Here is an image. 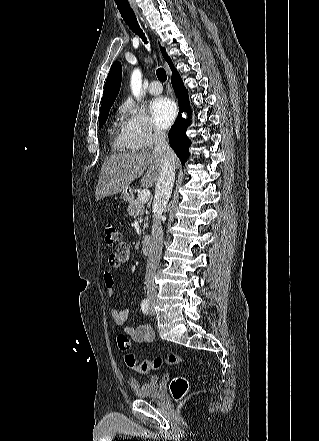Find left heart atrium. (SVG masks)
Instances as JSON below:
<instances>
[{
	"label": "left heart atrium",
	"mask_w": 319,
	"mask_h": 441,
	"mask_svg": "<svg viewBox=\"0 0 319 441\" xmlns=\"http://www.w3.org/2000/svg\"><path fill=\"white\" fill-rule=\"evenodd\" d=\"M150 111L155 123L160 128L166 129L175 117L176 106L169 98L158 97L151 102Z\"/></svg>",
	"instance_id": "1"
}]
</instances>
